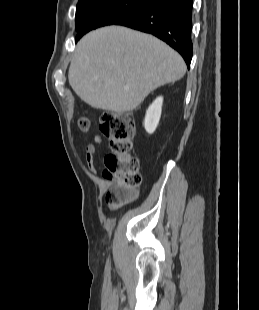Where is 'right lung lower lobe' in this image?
Returning a JSON list of instances; mask_svg holds the SVG:
<instances>
[{
	"label": "right lung lower lobe",
	"instance_id": "obj_1",
	"mask_svg": "<svg viewBox=\"0 0 259 310\" xmlns=\"http://www.w3.org/2000/svg\"><path fill=\"white\" fill-rule=\"evenodd\" d=\"M192 4L193 0H156L115 25L155 35L178 51L189 67L193 54Z\"/></svg>",
	"mask_w": 259,
	"mask_h": 310
}]
</instances>
